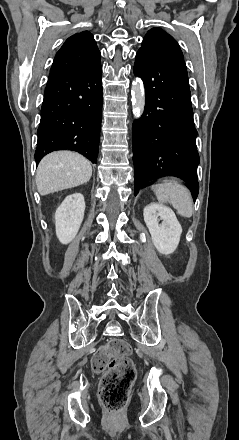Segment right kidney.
I'll return each mask as SVG.
<instances>
[{
    "label": "right kidney",
    "mask_w": 239,
    "mask_h": 440,
    "mask_svg": "<svg viewBox=\"0 0 239 440\" xmlns=\"http://www.w3.org/2000/svg\"><path fill=\"white\" fill-rule=\"evenodd\" d=\"M85 212L84 196L82 194H72L67 196L55 214L56 236L61 242L62 247L72 246L83 222Z\"/></svg>",
    "instance_id": "obj_1"
}]
</instances>
